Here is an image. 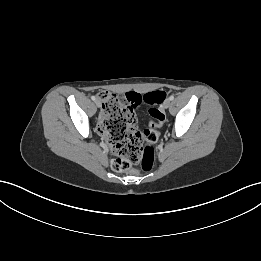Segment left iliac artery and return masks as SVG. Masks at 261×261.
Masks as SVG:
<instances>
[{"label": "left iliac artery", "instance_id": "obj_1", "mask_svg": "<svg viewBox=\"0 0 261 261\" xmlns=\"http://www.w3.org/2000/svg\"><path fill=\"white\" fill-rule=\"evenodd\" d=\"M169 99L172 101L174 99V95H170Z\"/></svg>", "mask_w": 261, "mask_h": 261}]
</instances>
